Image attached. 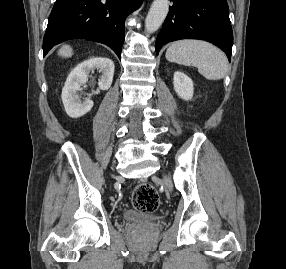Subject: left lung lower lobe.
Returning a JSON list of instances; mask_svg holds the SVG:
<instances>
[{"instance_id": "obj_1", "label": "left lung lower lobe", "mask_w": 286, "mask_h": 269, "mask_svg": "<svg viewBox=\"0 0 286 269\" xmlns=\"http://www.w3.org/2000/svg\"><path fill=\"white\" fill-rule=\"evenodd\" d=\"M168 16L156 39V53L171 41L201 39L222 49L229 61L233 33L226 0H170Z\"/></svg>"}]
</instances>
